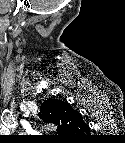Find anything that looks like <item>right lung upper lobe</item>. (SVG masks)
I'll return each instance as SVG.
<instances>
[{"label": "right lung upper lobe", "instance_id": "cb5924a9", "mask_svg": "<svg viewBox=\"0 0 125 143\" xmlns=\"http://www.w3.org/2000/svg\"><path fill=\"white\" fill-rule=\"evenodd\" d=\"M39 115L43 121L57 125L61 135L74 137L90 131L82 115L74 111L69 103L58 99L44 101Z\"/></svg>", "mask_w": 125, "mask_h": 143}]
</instances>
